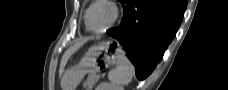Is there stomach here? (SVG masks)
<instances>
[{
  "label": "stomach",
  "instance_id": "stomach-1",
  "mask_svg": "<svg viewBox=\"0 0 228 90\" xmlns=\"http://www.w3.org/2000/svg\"><path fill=\"white\" fill-rule=\"evenodd\" d=\"M119 48L113 42H102L92 46L80 60L70 67L63 76V83L66 90H74L85 74L96 72L112 65Z\"/></svg>",
  "mask_w": 228,
  "mask_h": 90
}]
</instances>
